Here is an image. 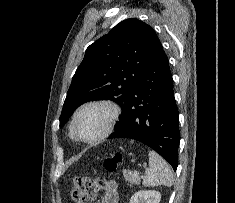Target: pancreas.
<instances>
[{
	"label": "pancreas",
	"mask_w": 235,
	"mask_h": 203,
	"mask_svg": "<svg viewBox=\"0 0 235 203\" xmlns=\"http://www.w3.org/2000/svg\"><path fill=\"white\" fill-rule=\"evenodd\" d=\"M123 175H124L126 181H128V183L136 184V185L140 184V178L136 177L135 174L132 171L124 170Z\"/></svg>",
	"instance_id": "pancreas-1"
}]
</instances>
